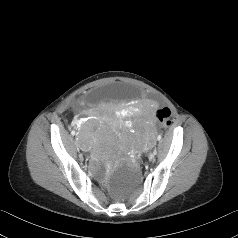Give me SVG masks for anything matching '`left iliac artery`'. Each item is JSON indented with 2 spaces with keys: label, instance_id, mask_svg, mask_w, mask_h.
<instances>
[{
  "label": "left iliac artery",
  "instance_id": "left-iliac-artery-1",
  "mask_svg": "<svg viewBox=\"0 0 238 238\" xmlns=\"http://www.w3.org/2000/svg\"><path fill=\"white\" fill-rule=\"evenodd\" d=\"M162 138L161 135H158L157 140L159 141Z\"/></svg>",
  "mask_w": 238,
  "mask_h": 238
}]
</instances>
